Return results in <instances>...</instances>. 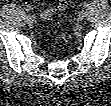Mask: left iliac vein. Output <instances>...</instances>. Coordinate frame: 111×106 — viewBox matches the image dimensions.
Returning a JSON list of instances; mask_svg holds the SVG:
<instances>
[{"mask_svg":"<svg viewBox=\"0 0 111 106\" xmlns=\"http://www.w3.org/2000/svg\"><path fill=\"white\" fill-rule=\"evenodd\" d=\"M86 17V13L84 11L80 12L79 19L83 20Z\"/></svg>","mask_w":111,"mask_h":106,"instance_id":"4c4485c4","label":"left iliac vein"}]
</instances>
